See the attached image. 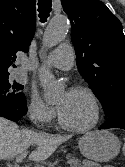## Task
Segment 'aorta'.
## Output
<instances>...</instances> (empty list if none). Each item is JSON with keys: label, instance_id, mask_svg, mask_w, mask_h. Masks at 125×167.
<instances>
[{"label": "aorta", "instance_id": "1", "mask_svg": "<svg viewBox=\"0 0 125 167\" xmlns=\"http://www.w3.org/2000/svg\"><path fill=\"white\" fill-rule=\"evenodd\" d=\"M69 29V21L66 16H59L53 18L48 24L44 36V46L51 48L58 45L64 40ZM39 80L44 90V98L47 102H52L61 92L62 86L55 80L53 74L47 70L42 69L39 72Z\"/></svg>", "mask_w": 125, "mask_h": 167}]
</instances>
